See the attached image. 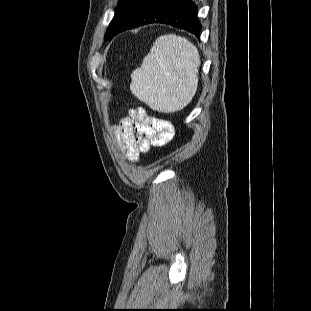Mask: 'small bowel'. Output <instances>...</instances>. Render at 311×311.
<instances>
[{"instance_id":"c3829d8e","label":"small bowel","mask_w":311,"mask_h":311,"mask_svg":"<svg viewBox=\"0 0 311 311\" xmlns=\"http://www.w3.org/2000/svg\"><path fill=\"white\" fill-rule=\"evenodd\" d=\"M121 152L130 161L152 147L163 146L173 137V126L169 121L150 116L144 109L130 112V116L121 119L114 130Z\"/></svg>"}]
</instances>
